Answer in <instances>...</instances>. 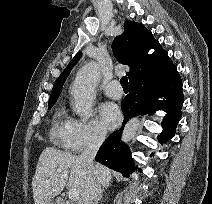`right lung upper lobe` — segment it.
<instances>
[{
    "label": "right lung upper lobe",
    "instance_id": "obj_1",
    "mask_svg": "<svg viewBox=\"0 0 212 204\" xmlns=\"http://www.w3.org/2000/svg\"><path fill=\"white\" fill-rule=\"evenodd\" d=\"M112 49L120 63L130 66L129 84L150 72L173 64L167 52L154 39L151 31L147 30L141 23L130 20L125 22L124 33L114 39ZM150 49L155 51L148 54ZM80 57L81 53H78L55 81L49 102H56L67 76Z\"/></svg>",
    "mask_w": 212,
    "mask_h": 204
}]
</instances>
